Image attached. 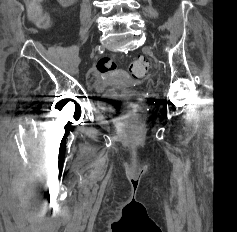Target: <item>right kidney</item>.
I'll return each mask as SVG.
<instances>
[{
	"label": "right kidney",
	"instance_id": "right-kidney-1",
	"mask_svg": "<svg viewBox=\"0 0 237 232\" xmlns=\"http://www.w3.org/2000/svg\"><path fill=\"white\" fill-rule=\"evenodd\" d=\"M57 1L62 7L67 8L71 6L76 0H57Z\"/></svg>",
	"mask_w": 237,
	"mask_h": 232
}]
</instances>
